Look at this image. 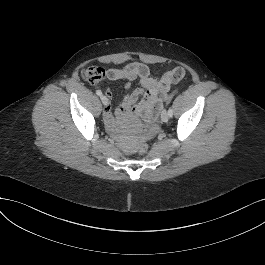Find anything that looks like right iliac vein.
Returning a JSON list of instances; mask_svg holds the SVG:
<instances>
[{
    "label": "right iliac vein",
    "mask_w": 265,
    "mask_h": 265,
    "mask_svg": "<svg viewBox=\"0 0 265 265\" xmlns=\"http://www.w3.org/2000/svg\"><path fill=\"white\" fill-rule=\"evenodd\" d=\"M101 101L104 105H107L108 104V99L106 96H101Z\"/></svg>",
    "instance_id": "1"
}]
</instances>
